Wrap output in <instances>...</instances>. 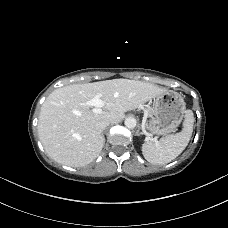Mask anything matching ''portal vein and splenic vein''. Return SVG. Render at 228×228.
I'll list each match as a JSON object with an SVG mask.
<instances>
[{
    "label": "portal vein and splenic vein",
    "mask_w": 228,
    "mask_h": 228,
    "mask_svg": "<svg viewBox=\"0 0 228 228\" xmlns=\"http://www.w3.org/2000/svg\"><path fill=\"white\" fill-rule=\"evenodd\" d=\"M86 104L94 107L93 112L97 114L102 112V107L105 105L104 101L101 100L98 96L90 99L86 102Z\"/></svg>",
    "instance_id": "1"
}]
</instances>
